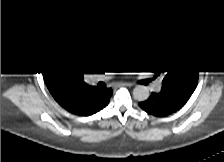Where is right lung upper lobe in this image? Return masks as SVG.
<instances>
[{
  "instance_id": "cb5924a9",
  "label": "right lung upper lobe",
  "mask_w": 224,
  "mask_h": 162,
  "mask_svg": "<svg viewBox=\"0 0 224 162\" xmlns=\"http://www.w3.org/2000/svg\"><path fill=\"white\" fill-rule=\"evenodd\" d=\"M65 69L55 66V69L53 67L43 73L47 88L54 99L70 113L92 115L112 94L111 89L101 91L88 87L83 80V66L73 68V72H66Z\"/></svg>"
}]
</instances>
